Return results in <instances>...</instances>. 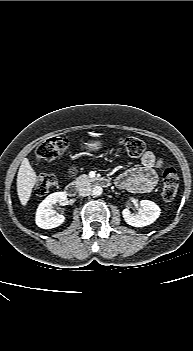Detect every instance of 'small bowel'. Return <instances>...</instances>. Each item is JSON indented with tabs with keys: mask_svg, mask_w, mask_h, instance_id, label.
Listing matches in <instances>:
<instances>
[{
	"mask_svg": "<svg viewBox=\"0 0 193 351\" xmlns=\"http://www.w3.org/2000/svg\"><path fill=\"white\" fill-rule=\"evenodd\" d=\"M163 161L153 152L147 151L141 158V165L125 171L118 178V185L131 193L146 194L155 188L158 176L157 169Z\"/></svg>",
	"mask_w": 193,
	"mask_h": 351,
	"instance_id": "1",
	"label": "small bowel"
}]
</instances>
